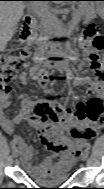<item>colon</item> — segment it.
<instances>
[{"label": "colon", "mask_w": 104, "mask_h": 189, "mask_svg": "<svg viewBox=\"0 0 104 189\" xmlns=\"http://www.w3.org/2000/svg\"><path fill=\"white\" fill-rule=\"evenodd\" d=\"M82 41L85 44H89L97 52L104 50V37L97 31L96 27L93 25L88 26L82 35ZM29 58V53L25 50H20L16 54L8 55L1 66V77H0V96L1 99L4 96H8L12 83L16 79L18 72L27 67V61ZM91 67L93 71L97 74L98 78H101L102 75V65L99 60V57L96 54L91 56ZM43 77L46 78V74H43ZM86 108L90 112V115L94 118H98L102 115L103 112V102L98 99L88 101L86 103ZM52 107L39 106L37 108L38 115H45L46 111H52ZM39 133L44 142L50 145L61 144L53 133L52 127H39ZM97 134V133H96ZM96 136V135H95ZM94 136V137H95ZM93 137V138H94Z\"/></svg>", "instance_id": "1"}]
</instances>
